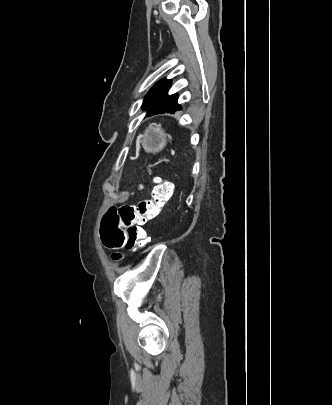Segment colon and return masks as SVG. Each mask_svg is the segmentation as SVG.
<instances>
[{
	"label": "colon",
	"instance_id": "1",
	"mask_svg": "<svg viewBox=\"0 0 332 405\" xmlns=\"http://www.w3.org/2000/svg\"><path fill=\"white\" fill-rule=\"evenodd\" d=\"M173 193V184L165 179H154L152 198L140 201L135 206L110 207L104 213L102 220V234L98 241L102 249H109L116 253L118 249L137 251L147 244L145 224L158 216L163 205ZM122 222L124 227H120Z\"/></svg>",
	"mask_w": 332,
	"mask_h": 405
}]
</instances>
